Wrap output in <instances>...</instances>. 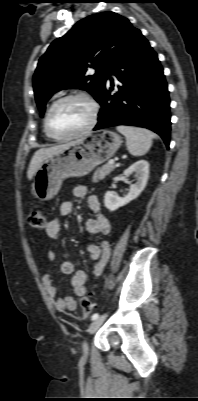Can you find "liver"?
I'll return each instance as SVG.
<instances>
[{"instance_id": "obj_1", "label": "liver", "mask_w": 198, "mask_h": 401, "mask_svg": "<svg viewBox=\"0 0 198 401\" xmlns=\"http://www.w3.org/2000/svg\"><path fill=\"white\" fill-rule=\"evenodd\" d=\"M69 143L63 144V145H57L49 148H41L37 150L28 167L27 170V177L29 180H32V178L35 176L37 173L38 169L42 165V163L48 159L49 157L59 153L64 147H66Z\"/></svg>"}]
</instances>
